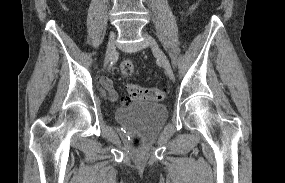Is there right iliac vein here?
Masks as SVG:
<instances>
[{
    "label": "right iliac vein",
    "instance_id": "1",
    "mask_svg": "<svg viewBox=\"0 0 285 183\" xmlns=\"http://www.w3.org/2000/svg\"><path fill=\"white\" fill-rule=\"evenodd\" d=\"M115 53V33H111L106 51L105 65L110 62Z\"/></svg>",
    "mask_w": 285,
    "mask_h": 183
}]
</instances>
